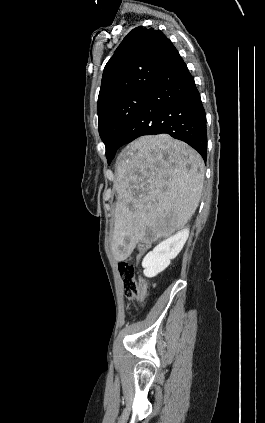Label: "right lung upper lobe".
<instances>
[{
  "instance_id": "obj_1",
  "label": "right lung upper lobe",
  "mask_w": 265,
  "mask_h": 423,
  "mask_svg": "<svg viewBox=\"0 0 265 423\" xmlns=\"http://www.w3.org/2000/svg\"><path fill=\"white\" fill-rule=\"evenodd\" d=\"M178 54L160 30L139 26L130 31L104 68L98 115L130 93L151 89Z\"/></svg>"
}]
</instances>
